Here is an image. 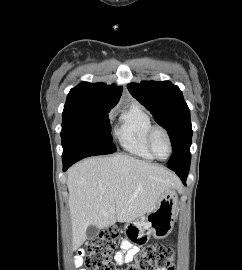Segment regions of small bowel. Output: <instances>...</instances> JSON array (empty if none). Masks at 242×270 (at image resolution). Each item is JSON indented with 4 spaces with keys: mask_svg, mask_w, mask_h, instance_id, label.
<instances>
[{
    "mask_svg": "<svg viewBox=\"0 0 242 270\" xmlns=\"http://www.w3.org/2000/svg\"><path fill=\"white\" fill-rule=\"evenodd\" d=\"M138 252V249L131 245L128 241H123L121 244V249L116 253L115 260L118 263H124L130 261L132 257ZM76 264H81V258L77 257ZM156 270H165V268H158Z\"/></svg>",
    "mask_w": 242,
    "mask_h": 270,
    "instance_id": "small-bowel-1",
    "label": "small bowel"
}]
</instances>
